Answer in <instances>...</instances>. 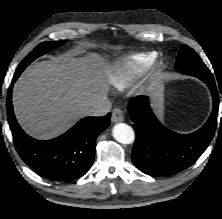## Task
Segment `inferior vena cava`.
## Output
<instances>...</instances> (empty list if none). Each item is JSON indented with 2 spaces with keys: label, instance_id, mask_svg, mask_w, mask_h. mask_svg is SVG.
I'll return each instance as SVG.
<instances>
[{
  "label": "inferior vena cava",
  "instance_id": "602c4592",
  "mask_svg": "<svg viewBox=\"0 0 222 219\" xmlns=\"http://www.w3.org/2000/svg\"><path fill=\"white\" fill-rule=\"evenodd\" d=\"M111 102L108 99L94 105L88 110V115L91 116H104L111 111Z\"/></svg>",
  "mask_w": 222,
  "mask_h": 219
}]
</instances>
